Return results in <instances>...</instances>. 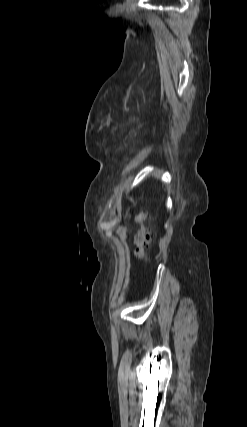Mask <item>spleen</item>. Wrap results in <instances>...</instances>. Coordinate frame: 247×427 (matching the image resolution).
I'll return each mask as SVG.
<instances>
[{"label": "spleen", "instance_id": "spleen-1", "mask_svg": "<svg viewBox=\"0 0 247 427\" xmlns=\"http://www.w3.org/2000/svg\"><path fill=\"white\" fill-rule=\"evenodd\" d=\"M162 171L158 170L154 173V175L159 178L161 176Z\"/></svg>", "mask_w": 247, "mask_h": 427}]
</instances>
